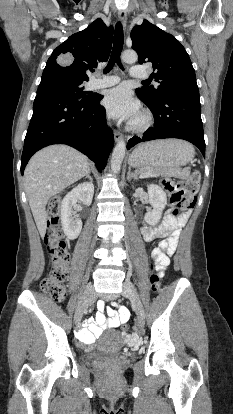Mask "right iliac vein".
<instances>
[{
	"mask_svg": "<svg viewBox=\"0 0 233 414\" xmlns=\"http://www.w3.org/2000/svg\"><path fill=\"white\" fill-rule=\"evenodd\" d=\"M95 298L96 293L94 288L92 286L87 287L75 311L76 322H79L81 320L83 315L86 313L88 307L94 302Z\"/></svg>",
	"mask_w": 233,
	"mask_h": 414,
	"instance_id": "right-iliac-vein-1",
	"label": "right iliac vein"
}]
</instances>
